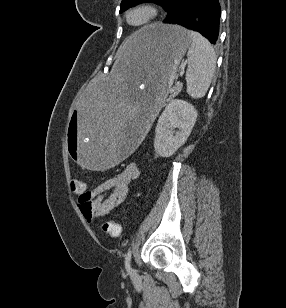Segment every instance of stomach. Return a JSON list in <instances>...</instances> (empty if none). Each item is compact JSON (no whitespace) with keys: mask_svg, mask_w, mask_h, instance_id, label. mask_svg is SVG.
Returning a JSON list of instances; mask_svg holds the SVG:
<instances>
[{"mask_svg":"<svg viewBox=\"0 0 286 308\" xmlns=\"http://www.w3.org/2000/svg\"><path fill=\"white\" fill-rule=\"evenodd\" d=\"M136 33L120 44L108 81H96L71 112L66 149L76 168H117L135 153L192 43L179 25L155 23Z\"/></svg>","mask_w":286,"mask_h":308,"instance_id":"1","label":"stomach"}]
</instances>
